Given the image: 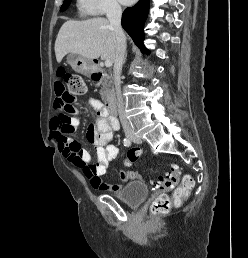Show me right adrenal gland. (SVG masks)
Instances as JSON below:
<instances>
[{"label":"right adrenal gland","mask_w":248,"mask_h":258,"mask_svg":"<svg viewBox=\"0 0 248 258\" xmlns=\"http://www.w3.org/2000/svg\"><path fill=\"white\" fill-rule=\"evenodd\" d=\"M127 53L125 54L123 64L126 62Z\"/></svg>","instance_id":"obj_1"}]
</instances>
